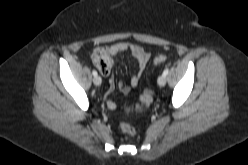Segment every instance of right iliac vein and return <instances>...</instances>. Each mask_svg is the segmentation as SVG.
I'll list each match as a JSON object with an SVG mask.
<instances>
[{"label": "right iliac vein", "instance_id": "obj_1", "mask_svg": "<svg viewBox=\"0 0 248 165\" xmlns=\"http://www.w3.org/2000/svg\"><path fill=\"white\" fill-rule=\"evenodd\" d=\"M93 83L96 85V86H100L101 85V83H102V79H101V77L100 76H94V78H93Z\"/></svg>", "mask_w": 248, "mask_h": 165}]
</instances>
